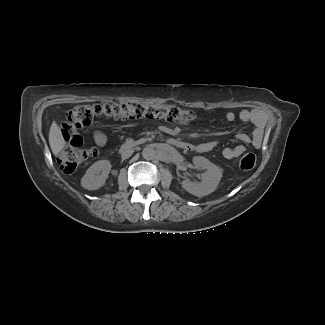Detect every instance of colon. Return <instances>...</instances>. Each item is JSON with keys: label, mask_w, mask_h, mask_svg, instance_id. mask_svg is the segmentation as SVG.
Returning <instances> with one entry per match:
<instances>
[{"label": "colon", "mask_w": 325, "mask_h": 325, "mask_svg": "<svg viewBox=\"0 0 325 325\" xmlns=\"http://www.w3.org/2000/svg\"><path fill=\"white\" fill-rule=\"evenodd\" d=\"M106 117L114 120H130L139 118L166 119L181 124H191L196 116L193 112L183 110L166 103H120V104H84L78 105L67 112L66 122L77 130H86L96 117ZM97 150L80 147H65L58 154V163L65 173H72L88 159L95 157ZM255 154L247 152L239 160L242 170H252L256 166Z\"/></svg>", "instance_id": "1"}]
</instances>
